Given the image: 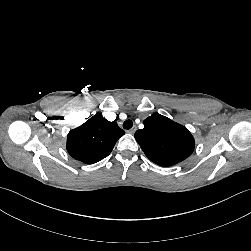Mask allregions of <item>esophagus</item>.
<instances>
[{
    "label": "esophagus",
    "mask_w": 251,
    "mask_h": 251,
    "mask_svg": "<svg viewBox=\"0 0 251 251\" xmlns=\"http://www.w3.org/2000/svg\"><path fill=\"white\" fill-rule=\"evenodd\" d=\"M135 131H136V126L132 127V128H131L130 130H128L127 132H128L129 134H134Z\"/></svg>",
    "instance_id": "1"
}]
</instances>
